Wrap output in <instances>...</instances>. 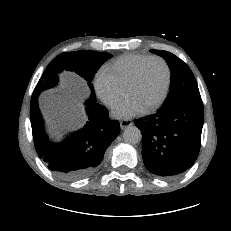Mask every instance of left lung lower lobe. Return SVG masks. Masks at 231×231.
<instances>
[{
  "label": "left lung lower lobe",
  "instance_id": "obj_1",
  "mask_svg": "<svg viewBox=\"0 0 231 231\" xmlns=\"http://www.w3.org/2000/svg\"><path fill=\"white\" fill-rule=\"evenodd\" d=\"M204 109L201 98H187L168 110L138 119L142 157L147 170L172 178L190 168L198 157Z\"/></svg>",
  "mask_w": 231,
  "mask_h": 231
}]
</instances>
